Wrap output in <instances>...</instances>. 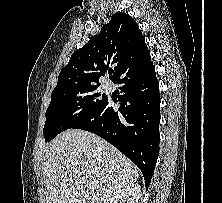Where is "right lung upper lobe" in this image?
<instances>
[{
    "label": "right lung upper lobe",
    "instance_id": "obj_1",
    "mask_svg": "<svg viewBox=\"0 0 222 203\" xmlns=\"http://www.w3.org/2000/svg\"><path fill=\"white\" fill-rule=\"evenodd\" d=\"M151 60L150 52L137 23L125 13H116L100 33L76 50L61 70L53 92L96 85L109 66H114V82L126 72Z\"/></svg>",
    "mask_w": 222,
    "mask_h": 203
}]
</instances>
